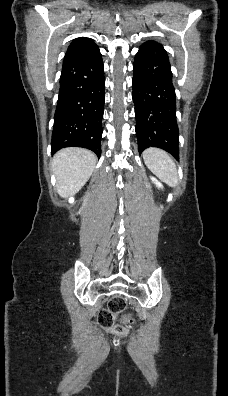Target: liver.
Wrapping results in <instances>:
<instances>
[{
	"label": "liver",
	"mask_w": 228,
	"mask_h": 396,
	"mask_svg": "<svg viewBox=\"0 0 228 396\" xmlns=\"http://www.w3.org/2000/svg\"><path fill=\"white\" fill-rule=\"evenodd\" d=\"M97 161L96 155L83 148H65L55 154L52 170L56 175V189L61 197L76 194L88 181Z\"/></svg>",
	"instance_id": "liver-1"
}]
</instances>
